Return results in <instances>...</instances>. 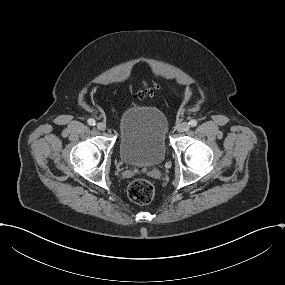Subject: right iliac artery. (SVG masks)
Wrapping results in <instances>:
<instances>
[{
	"instance_id": "right-iliac-artery-1",
	"label": "right iliac artery",
	"mask_w": 285,
	"mask_h": 285,
	"mask_svg": "<svg viewBox=\"0 0 285 285\" xmlns=\"http://www.w3.org/2000/svg\"><path fill=\"white\" fill-rule=\"evenodd\" d=\"M88 124L91 125V126H94L96 124V122H95L94 119H89L88 120Z\"/></svg>"
}]
</instances>
